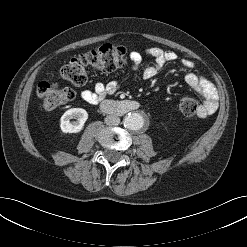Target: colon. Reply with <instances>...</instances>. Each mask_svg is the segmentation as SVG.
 <instances>
[{"label":"colon","instance_id":"5ec220e1","mask_svg":"<svg viewBox=\"0 0 247 247\" xmlns=\"http://www.w3.org/2000/svg\"><path fill=\"white\" fill-rule=\"evenodd\" d=\"M126 59L125 48L102 45L72 58L60 68L59 76L74 86H83L87 82L89 70L112 72L122 67ZM37 95L44 109H54L72 101L75 98V91L72 88H62L57 84L42 81L37 86ZM178 110L185 116H193L198 110V104L193 98L186 97L178 103Z\"/></svg>","mask_w":247,"mask_h":247}]
</instances>
